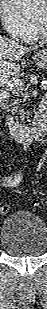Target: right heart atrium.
I'll use <instances>...</instances> for the list:
<instances>
[{
    "instance_id": "obj_1",
    "label": "right heart atrium",
    "mask_w": 47,
    "mask_h": 309,
    "mask_svg": "<svg viewBox=\"0 0 47 309\" xmlns=\"http://www.w3.org/2000/svg\"><path fill=\"white\" fill-rule=\"evenodd\" d=\"M0 18L7 33L16 40L26 41L34 31L12 0H0Z\"/></svg>"
}]
</instances>
